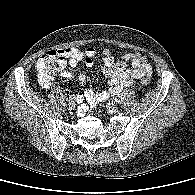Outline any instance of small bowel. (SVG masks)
<instances>
[{
  "instance_id": "1",
  "label": "small bowel",
  "mask_w": 195,
  "mask_h": 195,
  "mask_svg": "<svg viewBox=\"0 0 195 195\" xmlns=\"http://www.w3.org/2000/svg\"><path fill=\"white\" fill-rule=\"evenodd\" d=\"M58 52L68 59V63L72 68L76 67L83 59L87 66H93L98 54L91 47L86 50L73 47ZM101 54L103 73L108 80L109 89L108 91L97 92L87 90L84 94L79 95L78 100L85 102L79 109V115H83L89 108L98 106L110 96L119 94L125 87L130 86L134 80L150 77L153 73L151 64L140 53H126L120 60H116L108 49L103 50ZM128 63L131 64L132 68L128 67ZM62 75L68 79L73 77V73L70 71H65ZM78 81L84 84L86 82V75L80 74Z\"/></svg>"
}]
</instances>
